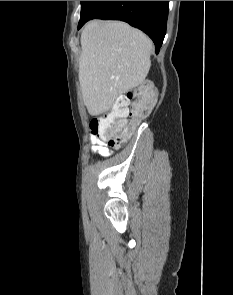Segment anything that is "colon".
<instances>
[{"label": "colon", "instance_id": "obj_1", "mask_svg": "<svg viewBox=\"0 0 233 295\" xmlns=\"http://www.w3.org/2000/svg\"><path fill=\"white\" fill-rule=\"evenodd\" d=\"M155 93L149 83L119 97L111 111L104 117H96L90 122L93 135L110 147H119L131 136L134 128L151 111Z\"/></svg>", "mask_w": 233, "mask_h": 295}]
</instances>
